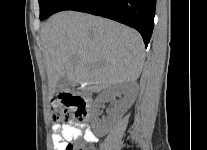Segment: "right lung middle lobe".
Instances as JSON below:
<instances>
[{
    "mask_svg": "<svg viewBox=\"0 0 207 150\" xmlns=\"http://www.w3.org/2000/svg\"><path fill=\"white\" fill-rule=\"evenodd\" d=\"M63 1L64 0H39L40 20H44L54 14Z\"/></svg>",
    "mask_w": 207,
    "mask_h": 150,
    "instance_id": "obj_1",
    "label": "right lung middle lobe"
}]
</instances>
